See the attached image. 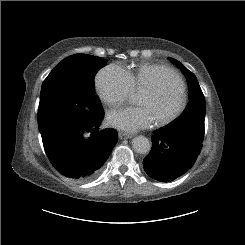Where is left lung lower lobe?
Returning <instances> with one entry per match:
<instances>
[{
	"mask_svg": "<svg viewBox=\"0 0 245 245\" xmlns=\"http://www.w3.org/2000/svg\"><path fill=\"white\" fill-rule=\"evenodd\" d=\"M152 148L143 160L146 173L161 182L185 174L200 154L202 143L192 137L158 130L152 136Z\"/></svg>",
	"mask_w": 245,
	"mask_h": 245,
	"instance_id": "obj_1",
	"label": "left lung lower lobe"
}]
</instances>
